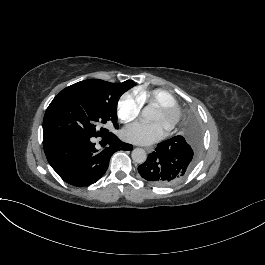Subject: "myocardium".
Masks as SVG:
<instances>
[{"mask_svg": "<svg viewBox=\"0 0 265 265\" xmlns=\"http://www.w3.org/2000/svg\"><path fill=\"white\" fill-rule=\"evenodd\" d=\"M156 109L164 115L166 120V127L169 130L174 129L182 119V110L177 104H163L157 106Z\"/></svg>", "mask_w": 265, "mask_h": 265, "instance_id": "f54148a6", "label": "myocardium"}]
</instances>
